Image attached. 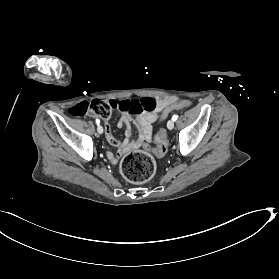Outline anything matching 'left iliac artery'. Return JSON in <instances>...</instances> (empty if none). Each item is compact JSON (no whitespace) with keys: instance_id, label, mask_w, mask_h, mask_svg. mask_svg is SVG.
I'll list each match as a JSON object with an SVG mask.
<instances>
[{"instance_id":"1","label":"left iliac artery","mask_w":279,"mask_h":279,"mask_svg":"<svg viewBox=\"0 0 279 279\" xmlns=\"http://www.w3.org/2000/svg\"><path fill=\"white\" fill-rule=\"evenodd\" d=\"M177 118H178V116H177V115H173L172 120H173V121H176V120H177Z\"/></svg>"}]
</instances>
